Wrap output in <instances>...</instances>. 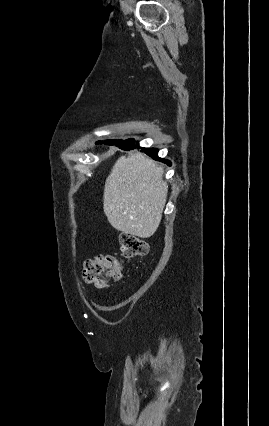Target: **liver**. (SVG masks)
Instances as JSON below:
<instances>
[{
	"mask_svg": "<svg viewBox=\"0 0 269 426\" xmlns=\"http://www.w3.org/2000/svg\"><path fill=\"white\" fill-rule=\"evenodd\" d=\"M163 173L162 167L140 152L116 161L103 196L104 213L113 228L140 238L156 232L168 193Z\"/></svg>",
	"mask_w": 269,
	"mask_h": 426,
	"instance_id": "6515ba94",
	"label": "liver"
}]
</instances>
